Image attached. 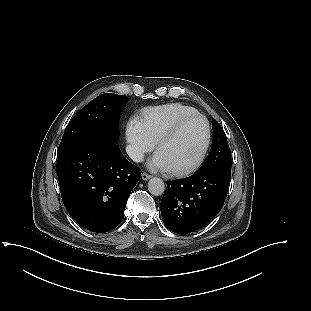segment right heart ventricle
Segmentation results:
<instances>
[{"label": "right heart ventricle", "mask_w": 311, "mask_h": 311, "mask_svg": "<svg viewBox=\"0 0 311 311\" xmlns=\"http://www.w3.org/2000/svg\"><path fill=\"white\" fill-rule=\"evenodd\" d=\"M193 113H197V110L191 106L169 103L144 109L141 122L146 133L155 143L178 119Z\"/></svg>", "instance_id": "right-heart-ventricle-1"}]
</instances>
